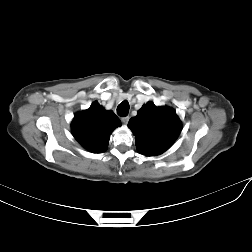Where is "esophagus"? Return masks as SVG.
Returning <instances> with one entry per match:
<instances>
[{"mask_svg":"<svg viewBox=\"0 0 252 252\" xmlns=\"http://www.w3.org/2000/svg\"><path fill=\"white\" fill-rule=\"evenodd\" d=\"M128 121H129V116H125V117L122 118V122H123L124 124H127Z\"/></svg>","mask_w":252,"mask_h":252,"instance_id":"34e87169","label":"esophagus"}]
</instances>
